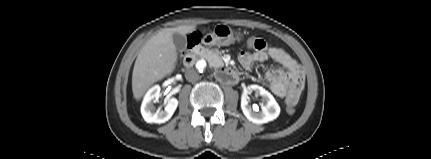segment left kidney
Listing matches in <instances>:
<instances>
[{
	"label": "left kidney",
	"mask_w": 431,
	"mask_h": 159,
	"mask_svg": "<svg viewBox=\"0 0 431 159\" xmlns=\"http://www.w3.org/2000/svg\"><path fill=\"white\" fill-rule=\"evenodd\" d=\"M252 91H255L262 98L261 111L252 108L248 103V94ZM241 109L245 117L255 124H264L273 121L280 114V107L275 98L271 93L258 85H251L244 89L241 96Z\"/></svg>",
	"instance_id": "1"
}]
</instances>
